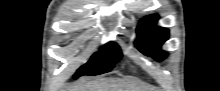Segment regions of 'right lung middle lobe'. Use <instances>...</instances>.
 <instances>
[{"label": "right lung middle lobe", "mask_w": 220, "mask_h": 91, "mask_svg": "<svg viewBox=\"0 0 220 91\" xmlns=\"http://www.w3.org/2000/svg\"><path fill=\"white\" fill-rule=\"evenodd\" d=\"M122 56L121 50L115 43H108L95 53L88 63L77 70L74 78L83 75H99L110 71Z\"/></svg>", "instance_id": "1"}]
</instances>
